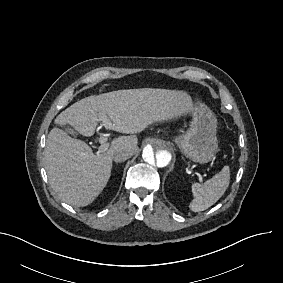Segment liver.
Returning <instances> with one entry per match:
<instances>
[{
	"label": "liver",
	"mask_w": 283,
	"mask_h": 283,
	"mask_svg": "<svg viewBox=\"0 0 283 283\" xmlns=\"http://www.w3.org/2000/svg\"><path fill=\"white\" fill-rule=\"evenodd\" d=\"M193 109L191 96L182 90H118L75 102L56 117L55 123L69 124L80 134L92 136L98 121L107 116L114 131L134 134L154 122L178 118ZM137 143L136 135L120 136L108 150L94 154L84 141L55 127L48 134L44 157L49 183L64 202L87 206L110 178L114 149L129 146L136 153Z\"/></svg>",
	"instance_id": "1"
}]
</instances>
